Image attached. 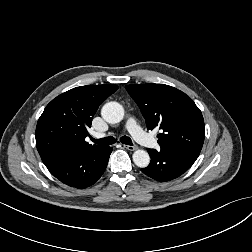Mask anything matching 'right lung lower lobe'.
I'll use <instances>...</instances> for the list:
<instances>
[{"mask_svg": "<svg viewBox=\"0 0 252 252\" xmlns=\"http://www.w3.org/2000/svg\"><path fill=\"white\" fill-rule=\"evenodd\" d=\"M111 152V147L77 150L57 156L45 165L62 183L84 189L94 184L104 173Z\"/></svg>", "mask_w": 252, "mask_h": 252, "instance_id": "98d812e1", "label": "right lung lower lobe"}]
</instances>
